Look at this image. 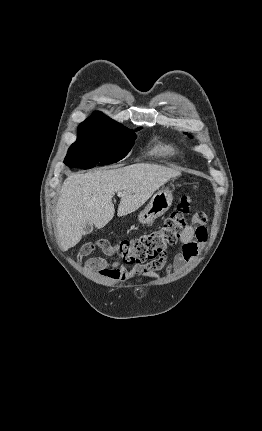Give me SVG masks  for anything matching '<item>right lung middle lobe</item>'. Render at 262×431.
Wrapping results in <instances>:
<instances>
[{
  "instance_id": "1",
  "label": "right lung middle lobe",
  "mask_w": 262,
  "mask_h": 431,
  "mask_svg": "<svg viewBox=\"0 0 262 431\" xmlns=\"http://www.w3.org/2000/svg\"><path fill=\"white\" fill-rule=\"evenodd\" d=\"M135 138L133 131L116 121L101 125H79L77 140L70 146L64 163L71 168L89 169L96 163L105 165L118 162L128 154Z\"/></svg>"
}]
</instances>
